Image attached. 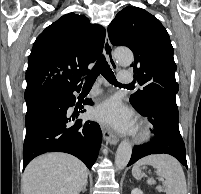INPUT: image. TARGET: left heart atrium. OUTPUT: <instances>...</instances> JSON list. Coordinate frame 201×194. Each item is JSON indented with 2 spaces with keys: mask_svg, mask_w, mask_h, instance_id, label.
<instances>
[{
  "mask_svg": "<svg viewBox=\"0 0 201 194\" xmlns=\"http://www.w3.org/2000/svg\"><path fill=\"white\" fill-rule=\"evenodd\" d=\"M94 117L106 126L120 132H131L134 129V121L130 111L115 100H108L94 110Z\"/></svg>",
  "mask_w": 201,
  "mask_h": 194,
  "instance_id": "left-heart-atrium-1",
  "label": "left heart atrium"
}]
</instances>
